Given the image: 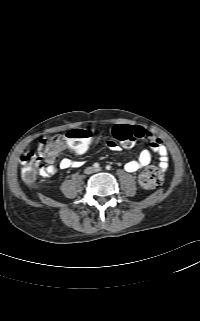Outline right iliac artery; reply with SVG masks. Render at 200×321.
I'll use <instances>...</instances> for the list:
<instances>
[{"mask_svg":"<svg viewBox=\"0 0 200 321\" xmlns=\"http://www.w3.org/2000/svg\"><path fill=\"white\" fill-rule=\"evenodd\" d=\"M95 168H99V164L98 163H94L93 165Z\"/></svg>","mask_w":200,"mask_h":321,"instance_id":"obj_1","label":"right iliac artery"}]
</instances>
